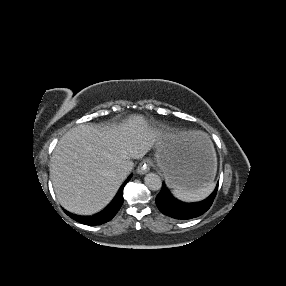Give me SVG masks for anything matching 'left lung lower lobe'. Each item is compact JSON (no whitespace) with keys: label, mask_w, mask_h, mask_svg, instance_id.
<instances>
[{"label":"left lung lower lobe","mask_w":286,"mask_h":286,"mask_svg":"<svg viewBox=\"0 0 286 286\" xmlns=\"http://www.w3.org/2000/svg\"><path fill=\"white\" fill-rule=\"evenodd\" d=\"M218 184L213 193L201 202L183 203L175 199L163 183L160 193L156 197L159 210L175 219H191L204 214L212 205L218 190Z\"/></svg>","instance_id":"obj_1"}]
</instances>
